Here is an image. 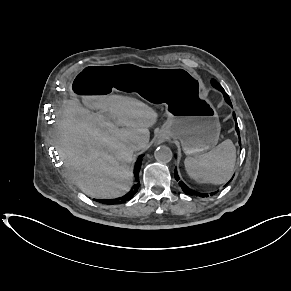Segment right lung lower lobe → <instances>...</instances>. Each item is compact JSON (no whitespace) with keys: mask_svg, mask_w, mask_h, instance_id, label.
Instances as JSON below:
<instances>
[{"mask_svg":"<svg viewBox=\"0 0 291 291\" xmlns=\"http://www.w3.org/2000/svg\"><path fill=\"white\" fill-rule=\"evenodd\" d=\"M142 157L143 155H141L138 159L137 162L135 164L134 167V175H135V184L133 185L132 189L125 194L122 197L116 198V199H94L95 201L101 202L103 204H108V205H116V204H123L126 203L127 201L131 200L134 195L136 194V192L138 191L139 188V171H140V167H141V163H142Z\"/></svg>","mask_w":291,"mask_h":291,"instance_id":"right-lung-lower-lobe-1","label":"right lung lower lobe"}]
</instances>
